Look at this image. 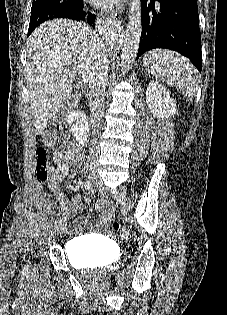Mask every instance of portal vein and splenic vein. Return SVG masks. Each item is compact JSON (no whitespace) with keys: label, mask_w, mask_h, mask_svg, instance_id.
<instances>
[{"label":"portal vein and splenic vein","mask_w":227,"mask_h":315,"mask_svg":"<svg viewBox=\"0 0 227 315\" xmlns=\"http://www.w3.org/2000/svg\"><path fill=\"white\" fill-rule=\"evenodd\" d=\"M73 72H77L86 81L90 79V73L81 67H73Z\"/></svg>","instance_id":"portal-vein-and-splenic-vein-1"}]
</instances>
